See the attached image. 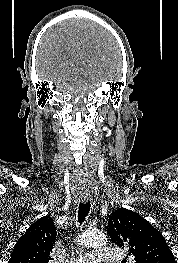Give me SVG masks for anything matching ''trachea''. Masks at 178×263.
Wrapping results in <instances>:
<instances>
[{"instance_id":"trachea-1","label":"trachea","mask_w":178,"mask_h":263,"mask_svg":"<svg viewBox=\"0 0 178 263\" xmlns=\"http://www.w3.org/2000/svg\"><path fill=\"white\" fill-rule=\"evenodd\" d=\"M89 211H90V202L79 204V210H78L79 223H82L85 221L87 215L89 214Z\"/></svg>"}]
</instances>
